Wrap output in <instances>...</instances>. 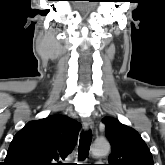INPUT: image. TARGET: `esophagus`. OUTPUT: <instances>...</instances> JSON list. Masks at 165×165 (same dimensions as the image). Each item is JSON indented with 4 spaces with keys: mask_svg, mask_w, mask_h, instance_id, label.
Segmentation results:
<instances>
[{
    "mask_svg": "<svg viewBox=\"0 0 165 165\" xmlns=\"http://www.w3.org/2000/svg\"><path fill=\"white\" fill-rule=\"evenodd\" d=\"M82 124L86 130H89L93 127V121L90 117H83L82 118Z\"/></svg>",
    "mask_w": 165,
    "mask_h": 165,
    "instance_id": "1",
    "label": "esophagus"
}]
</instances>
